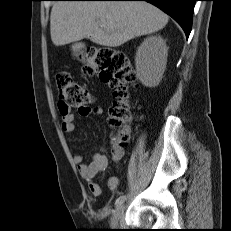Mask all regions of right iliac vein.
Returning a JSON list of instances; mask_svg holds the SVG:
<instances>
[{
  "label": "right iliac vein",
  "mask_w": 231,
  "mask_h": 231,
  "mask_svg": "<svg viewBox=\"0 0 231 231\" xmlns=\"http://www.w3.org/2000/svg\"><path fill=\"white\" fill-rule=\"evenodd\" d=\"M125 210V205L123 203L119 204L116 209L114 210L112 217H111V226L117 227L120 218L122 217Z\"/></svg>",
  "instance_id": "63e3f726"
}]
</instances>
